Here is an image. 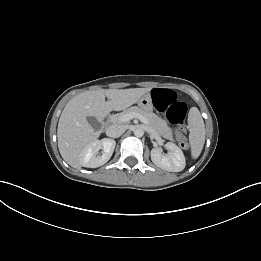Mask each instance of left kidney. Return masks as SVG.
<instances>
[{
  "label": "left kidney",
  "instance_id": "obj_1",
  "mask_svg": "<svg viewBox=\"0 0 261 261\" xmlns=\"http://www.w3.org/2000/svg\"><path fill=\"white\" fill-rule=\"evenodd\" d=\"M170 153L164 155L160 149L151 150V160L158 167L170 172H180L185 168V156L182 150L173 143L166 144Z\"/></svg>",
  "mask_w": 261,
  "mask_h": 261
}]
</instances>
